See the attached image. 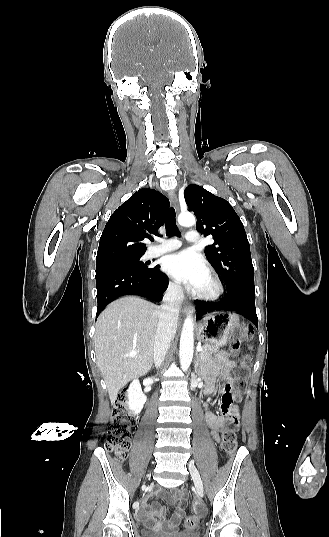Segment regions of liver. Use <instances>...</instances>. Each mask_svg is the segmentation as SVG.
<instances>
[{"label":"liver","instance_id":"liver-1","mask_svg":"<svg viewBox=\"0 0 329 537\" xmlns=\"http://www.w3.org/2000/svg\"><path fill=\"white\" fill-rule=\"evenodd\" d=\"M160 308L135 296L112 302L99 315L96 358L113 403L131 379L145 375L154 358ZM136 353L131 357V353Z\"/></svg>","mask_w":329,"mask_h":537}]
</instances>
